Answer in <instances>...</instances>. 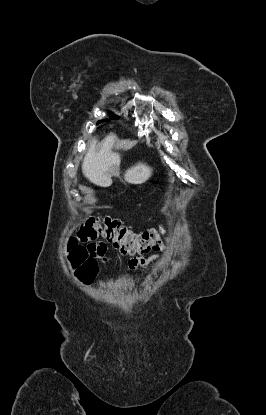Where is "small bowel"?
<instances>
[{
  "mask_svg": "<svg viewBox=\"0 0 266 415\" xmlns=\"http://www.w3.org/2000/svg\"><path fill=\"white\" fill-rule=\"evenodd\" d=\"M89 251L95 256V258L101 259L102 262H109L110 258L107 256L112 251L103 242H93L87 245ZM160 255L153 253L148 256L134 257L128 261V267L130 270H136L139 268H149L157 264Z\"/></svg>",
  "mask_w": 266,
  "mask_h": 415,
  "instance_id": "obj_1",
  "label": "small bowel"
}]
</instances>
